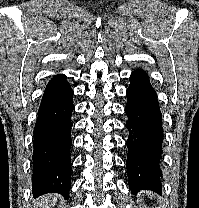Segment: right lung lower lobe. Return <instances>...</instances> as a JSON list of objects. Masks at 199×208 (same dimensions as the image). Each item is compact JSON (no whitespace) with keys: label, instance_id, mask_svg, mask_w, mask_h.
<instances>
[{"label":"right lung lower lobe","instance_id":"right-lung-lower-lobe-1","mask_svg":"<svg viewBox=\"0 0 199 208\" xmlns=\"http://www.w3.org/2000/svg\"><path fill=\"white\" fill-rule=\"evenodd\" d=\"M73 110V90L66 76L53 77L45 88L33 132L32 192L35 197L48 192L69 196Z\"/></svg>","mask_w":199,"mask_h":208}]
</instances>
